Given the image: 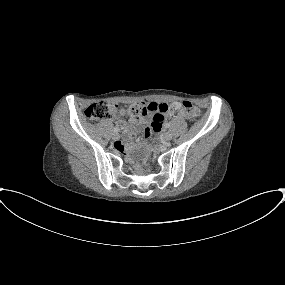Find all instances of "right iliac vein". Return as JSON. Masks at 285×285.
<instances>
[{
  "label": "right iliac vein",
  "mask_w": 285,
  "mask_h": 285,
  "mask_svg": "<svg viewBox=\"0 0 285 285\" xmlns=\"http://www.w3.org/2000/svg\"><path fill=\"white\" fill-rule=\"evenodd\" d=\"M113 139L118 140L120 138L119 134L117 132L113 133Z\"/></svg>",
  "instance_id": "63e3f726"
}]
</instances>
